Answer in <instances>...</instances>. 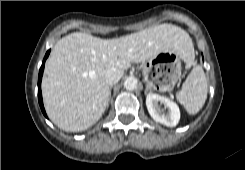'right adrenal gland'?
Returning a JSON list of instances; mask_svg holds the SVG:
<instances>
[{
  "instance_id": "obj_1",
  "label": "right adrenal gland",
  "mask_w": 245,
  "mask_h": 170,
  "mask_svg": "<svg viewBox=\"0 0 245 170\" xmlns=\"http://www.w3.org/2000/svg\"><path fill=\"white\" fill-rule=\"evenodd\" d=\"M111 88L112 87L109 88V100H110V97H111Z\"/></svg>"
}]
</instances>
